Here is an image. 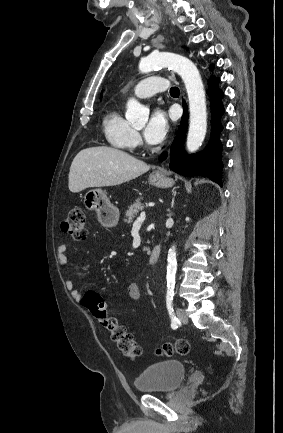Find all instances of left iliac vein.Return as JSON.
<instances>
[{
  "mask_svg": "<svg viewBox=\"0 0 283 433\" xmlns=\"http://www.w3.org/2000/svg\"><path fill=\"white\" fill-rule=\"evenodd\" d=\"M177 316L181 323L186 324L188 322L187 315L182 308H177Z\"/></svg>",
  "mask_w": 283,
  "mask_h": 433,
  "instance_id": "1",
  "label": "left iliac vein"
}]
</instances>
